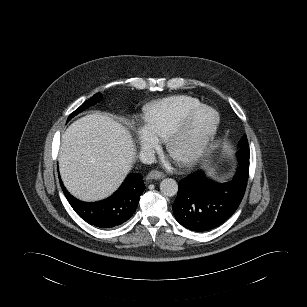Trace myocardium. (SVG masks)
<instances>
[{"label":"myocardium","instance_id":"myocardium-1","mask_svg":"<svg viewBox=\"0 0 307 307\" xmlns=\"http://www.w3.org/2000/svg\"><path fill=\"white\" fill-rule=\"evenodd\" d=\"M210 111L213 114V122L209 129L195 142L193 143L188 151L179 158L172 155V149L174 145L180 141L186 134L192 119L201 111ZM220 123L219 113L211 106L198 105L188 111L185 116L181 119L179 124L173 129V131L165 139V150L166 152L179 164L188 165L197 161L206 151L210 145L212 139L217 133Z\"/></svg>","mask_w":307,"mask_h":307}]
</instances>
